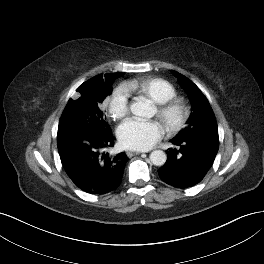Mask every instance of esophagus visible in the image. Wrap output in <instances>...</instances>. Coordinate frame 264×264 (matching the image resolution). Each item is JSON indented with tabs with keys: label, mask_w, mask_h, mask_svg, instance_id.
<instances>
[{
	"label": "esophagus",
	"mask_w": 264,
	"mask_h": 264,
	"mask_svg": "<svg viewBox=\"0 0 264 264\" xmlns=\"http://www.w3.org/2000/svg\"><path fill=\"white\" fill-rule=\"evenodd\" d=\"M142 152H139V151H127V156L129 157V158H131V157H133V156H136V155H139V154H141Z\"/></svg>",
	"instance_id": "34e87169"
}]
</instances>
